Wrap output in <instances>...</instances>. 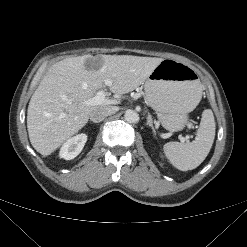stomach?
Masks as SVG:
<instances>
[{
	"instance_id": "0dacf381",
	"label": "stomach",
	"mask_w": 247,
	"mask_h": 247,
	"mask_svg": "<svg viewBox=\"0 0 247 247\" xmlns=\"http://www.w3.org/2000/svg\"><path fill=\"white\" fill-rule=\"evenodd\" d=\"M147 102L157 112L162 126L182 130L202 97V84L195 70L172 59H163L144 84Z\"/></svg>"
}]
</instances>
